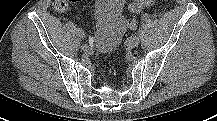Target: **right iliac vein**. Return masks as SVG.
I'll list each match as a JSON object with an SVG mask.
<instances>
[{
  "instance_id": "63e3f726",
  "label": "right iliac vein",
  "mask_w": 217,
  "mask_h": 121,
  "mask_svg": "<svg viewBox=\"0 0 217 121\" xmlns=\"http://www.w3.org/2000/svg\"><path fill=\"white\" fill-rule=\"evenodd\" d=\"M81 49H82L84 52H87V53L91 51L90 47H89L87 44H83V45L81 46Z\"/></svg>"
}]
</instances>
